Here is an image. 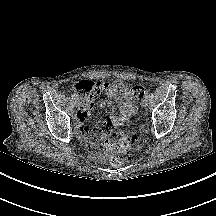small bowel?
Masks as SVG:
<instances>
[{"mask_svg": "<svg viewBox=\"0 0 216 216\" xmlns=\"http://www.w3.org/2000/svg\"><path fill=\"white\" fill-rule=\"evenodd\" d=\"M98 84L108 97V99H102L100 101V107L107 106L109 102L114 104L113 113L107 118L106 122H110L113 126H120L127 123L136 112L130 87L121 81L99 82ZM93 105L92 101L83 100L75 115V122L77 135L81 139L88 140L92 145L96 146L99 139L98 130L89 129L85 126V122L90 116Z\"/></svg>", "mask_w": 216, "mask_h": 216, "instance_id": "c3829d8e", "label": "small bowel"}]
</instances>
